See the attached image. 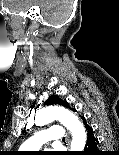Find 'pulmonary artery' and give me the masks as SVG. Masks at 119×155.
<instances>
[{"mask_svg":"<svg viewBox=\"0 0 119 155\" xmlns=\"http://www.w3.org/2000/svg\"><path fill=\"white\" fill-rule=\"evenodd\" d=\"M64 137V130L60 126H51L41 130L22 144L23 150L36 151L44 144L60 141Z\"/></svg>","mask_w":119,"mask_h":155,"instance_id":"1","label":"pulmonary artery"}]
</instances>
